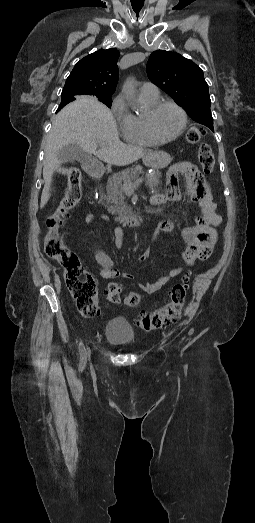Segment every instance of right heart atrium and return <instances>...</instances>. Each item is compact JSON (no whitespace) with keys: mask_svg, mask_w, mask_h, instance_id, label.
Instances as JSON below:
<instances>
[{"mask_svg":"<svg viewBox=\"0 0 255 523\" xmlns=\"http://www.w3.org/2000/svg\"><path fill=\"white\" fill-rule=\"evenodd\" d=\"M111 111H112L113 115L117 118L121 117L124 114L125 108H124L123 94H119L114 98V100L111 104Z\"/></svg>","mask_w":255,"mask_h":523,"instance_id":"obj_1","label":"right heart atrium"}]
</instances>
